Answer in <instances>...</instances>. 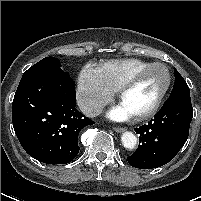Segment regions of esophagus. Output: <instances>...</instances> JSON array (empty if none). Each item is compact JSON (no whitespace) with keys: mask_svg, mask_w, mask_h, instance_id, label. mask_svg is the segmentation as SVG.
Masks as SVG:
<instances>
[{"mask_svg":"<svg viewBox=\"0 0 201 201\" xmlns=\"http://www.w3.org/2000/svg\"><path fill=\"white\" fill-rule=\"evenodd\" d=\"M113 129H114V131L117 132V133H120V132L125 131V128H123V127H114Z\"/></svg>","mask_w":201,"mask_h":201,"instance_id":"34e87169","label":"esophagus"}]
</instances>
